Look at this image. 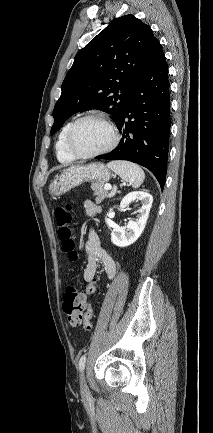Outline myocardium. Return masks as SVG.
Returning <instances> with one entry per match:
<instances>
[{
  "mask_svg": "<svg viewBox=\"0 0 213 433\" xmlns=\"http://www.w3.org/2000/svg\"><path fill=\"white\" fill-rule=\"evenodd\" d=\"M89 119H95L105 124L110 130L112 139L111 142L108 144V146H106L104 149L90 154H82L76 150L73 143V137H74L75 130L79 126V124ZM119 141H120V134L116 126L113 124V122L110 119H108L105 115L97 112H90L76 119L68 130L67 140H66L67 148L69 152L78 159H91V158H95L107 154L118 145Z\"/></svg>",
  "mask_w": 213,
  "mask_h": 433,
  "instance_id": "obj_1",
  "label": "myocardium"
}]
</instances>
